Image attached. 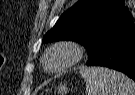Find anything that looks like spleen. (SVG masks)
<instances>
[{
  "label": "spleen",
  "mask_w": 135,
  "mask_h": 95,
  "mask_svg": "<svg viewBox=\"0 0 135 95\" xmlns=\"http://www.w3.org/2000/svg\"><path fill=\"white\" fill-rule=\"evenodd\" d=\"M79 73L86 83L87 95H135V83L120 72L82 66Z\"/></svg>",
  "instance_id": "obj_1"
}]
</instances>
